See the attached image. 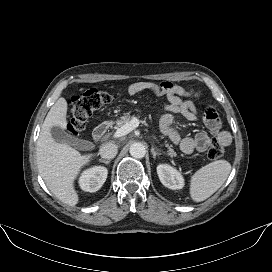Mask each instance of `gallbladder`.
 Listing matches in <instances>:
<instances>
[{
    "instance_id": "bac80fb5",
    "label": "gallbladder",
    "mask_w": 272,
    "mask_h": 272,
    "mask_svg": "<svg viewBox=\"0 0 272 272\" xmlns=\"http://www.w3.org/2000/svg\"><path fill=\"white\" fill-rule=\"evenodd\" d=\"M52 138L58 143H64L78 150H85L88 142L68 134L63 128L54 126L50 130Z\"/></svg>"
}]
</instances>
